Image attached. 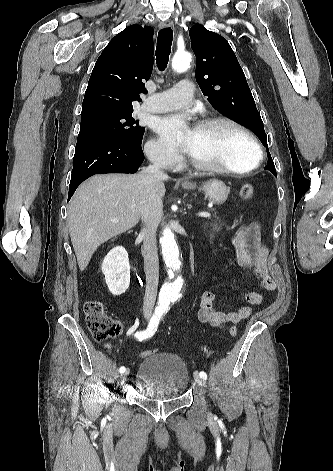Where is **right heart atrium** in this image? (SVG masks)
<instances>
[{
	"label": "right heart atrium",
	"mask_w": 333,
	"mask_h": 471,
	"mask_svg": "<svg viewBox=\"0 0 333 471\" xmlns=\"http://www.w3.org/2000/svg\"><path fill=\"white\" fill-rule=\"evenodd\" d=\"M148 158L158 167L172 170L182 162V156L159 139H151L145 146Z\"/></svg>",
	"instance_id": "right-heart-atrium-1"
}]
</instances>
